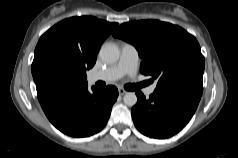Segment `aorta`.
<instances>
[{"label": "aorta", "instance_id": "762f6f07", "mask_svg": "<svg viewBox=\"0 0 238 158\" xmlns=\"http://www.w3.org/2000/svg\"><path fill=\"white\" fill-rule=\"evenodd\" d=\"M99 56L105 63H115L120 56L119 48L113 43H105L102 45ZM123 101L127 106H134L137 103V96L134 92H128L124 95Z\"/></svg>", "mask_w": 238, "mask_h": 158}]
</instances>
